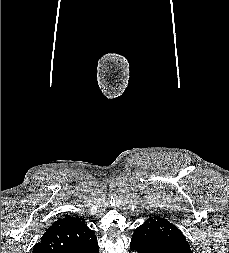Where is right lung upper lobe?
<instances>
[{
	"instance_id": "1",
	"label": "right lung upper lobe",
	"mask_w": 229,
	"mask_h": 253,
	"mask_svg": "<svg viewBox=\"0 0 229 253\" xmlns=\"http://www.w3.org/2000/svg\"><path fill=\"white\" fill-rule=\"evenodd\" d=\"M96 241L84 219L66 215L46 230L34 245L33 253H74Z\"/></svg>"
}]
</instances>
